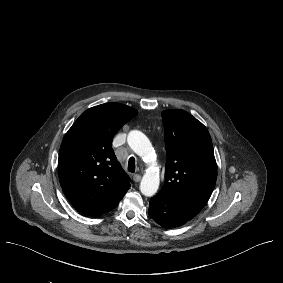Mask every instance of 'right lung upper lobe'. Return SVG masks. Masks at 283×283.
<instances>
[{
  "instance_id": "right-lung-upper-lobe-1",
  "label": "right lung upper lobe",
  "mask_w": 283,
  "mask_h": 283,
  "mask_svg": "<svg viewBox=\"0 0 283 283\" xmlns=\"http://www.w3.org/2000/svg\"><path fill=\"white\" fill-rule=\"evenodd\" d=\"M137 113L115 102L98 105L86 110L66 133L59 151V181L80 212L100 216L115 208L130 188L112 140Z\"/></svg>"
}]
</instances>
